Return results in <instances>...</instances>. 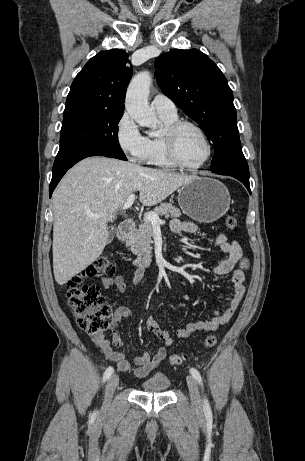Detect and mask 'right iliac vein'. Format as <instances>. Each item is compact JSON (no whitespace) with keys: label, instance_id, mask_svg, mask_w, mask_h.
Masks as SVG:
<instances>
[{"label":"right iliac vein","instance_id":"obj_1","mask_svg":"<svg viewBox=\"0 0 305 461\" xmlns=\"http://www.w3.org/2000/svg\"><path fill=\"white\" fill-rule=\"evenodd\" d=\"M118 383H119V377L116 374L112 375L108 379L107 384H106V389H105V405H108L110 403L112 395Z\"/></svg>","mask_w":305,"mask_h":461}]
</instances>
